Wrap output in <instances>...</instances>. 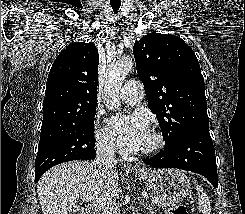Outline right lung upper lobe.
<instances>
[{
	"instance_id": "1",
	"label": "right lung upper lobe",
	"mask_w": 245,
	"mask_h": 214,
	"mask_svg": "<svg viewBox=\"0 0 245 214\" xmlns=\"http://www.w3.org/2000/svg\"><path fill=\"white\" fill-rule=\"evenodd\" d=\"M98 64L92 43L75 42L61 51L46 83L41 134L76 123L96 109Z\"/></svg>"
}]
</instances>
